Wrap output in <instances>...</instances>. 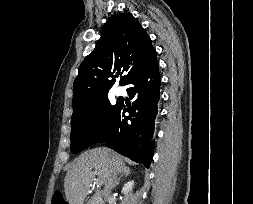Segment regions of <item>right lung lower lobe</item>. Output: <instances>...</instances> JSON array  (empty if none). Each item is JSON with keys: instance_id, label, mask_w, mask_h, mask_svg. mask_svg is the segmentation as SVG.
Wrapping results in <instances>:
<instances>
[{"instance_id": "1", "label": "right lung lower lobe", "mask_w": 253, "mask_h": 204, "mask_svg": "<svg viewBox=\"0 0 253 204\" xmlns=\"http://www.w3.org/2000/svg\"><path fill=\"white\" fill-rule=\"evenodd\" d=\"M158 61L155 49L145 62L136 69L124 85H130L127 92L135 101L120 102L110 123L99 139L118 153L149 168L154 150V121L157 103L160 99ZM128 112L129 115L125 116Z\"/></svg>"}]
</instances>
